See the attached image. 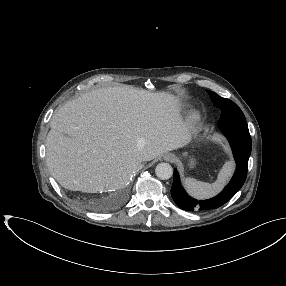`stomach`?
Segmentation results:
<instances>
[{
	"mask_svg": "<svg viewBox=\"0 0 286 286\" xmlns=\"http://www.w3.org/2000/svg\"><path fill=\"white\" fill-rule=\"evenodd\" d=\"M195 159L194 158H190V160H189V165H190V167H193L194 165H195Z\"/></svg>",
	"mask_w": 286,
	"mask_h": 286,
	"instance_id": "stomach-1",
	"label": "stomach"
}]
</instances>
